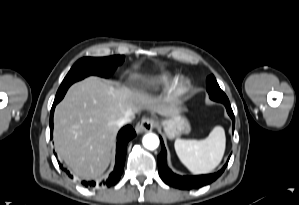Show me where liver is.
I'll return each instance as SVG.
<instances>
[{
  "instance_id": "liver-1",
  "label": "liver",
  "mask_w": 299,
  "mask_h": 205,
  "mask_svg": "<svg viewBox=\"0 0 299 205\" xmlns=\"http://www.w3.org/2000/svg\"><path fill=\"white\" fill-rule=\"evenodd\" d=\"M172 117V103L113 86L97 76L73 84L54 113V144L58 157L81 179L100 176L108 167L118 132L117 120L133 118L142 109Z\"/></svg>"
}]
</instances>
